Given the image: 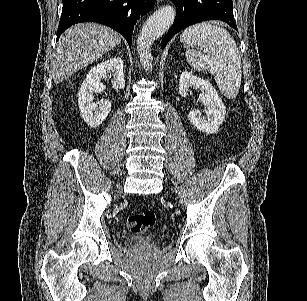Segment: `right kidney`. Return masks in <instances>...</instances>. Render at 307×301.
<instances>
[{"instance_id":"1","label":"right kidney","mask_w":307,"mask_h":301,"mask_svg":"<svg viewBox=\"0 0 307 301\" xmlns=\"http://www.w3.org/2000/svg\"><path fill=\"white\" fill-rule=\"evenodd\" d=\"M124 62L120 56H114V58H108V60H102L96 66H93L86 74L80 90L78 92V106L88 126L97 128L105 120L111 110L110 100L101 98L98 102H93L95 92H102L106 86L101 82L102 78L111 72L113 76L112 84L113 88H124L125 76H124Z\"/></svg>"}]
</instances>
